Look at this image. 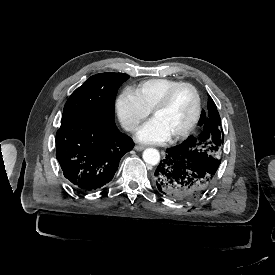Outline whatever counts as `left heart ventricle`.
<instances>
[{"mask_svg": "<svg viewBox=\"0 0 275 275\" xmlns=\"http://www.w3.org/2000/svg\"><path fill=\"white\" fill-rule=\"evenodd\" d=\"M195 108L196 100L193 91L187 86H182L173 93L168 105L154 115L153 120L168 136H171L189 124Z\"/></svg>", "mask_w": 275, "mask_h": 275, "instance_id": "obj_1", "label": "left heart ventricle"}]
</instances>
